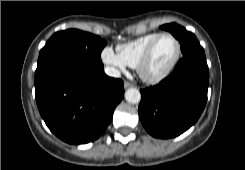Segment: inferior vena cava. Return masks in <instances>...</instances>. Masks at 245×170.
<instances>
[{"label":"inferior vena cava","instance_id":"obj_1","mask_svg":"<svg viewBox=\"0 0 245 170\" xmlns=\"http://www.w3.org/2000/svg\"><path fill=\"white\" fill-rule=\"evenodd\" d=\"M105 73L110 76V77H115V78H119L120 77V72L118 69L114 68V67H106L104 69Z\"/></svg>","mask_w":245,"mask_h":170}]
</instances>
